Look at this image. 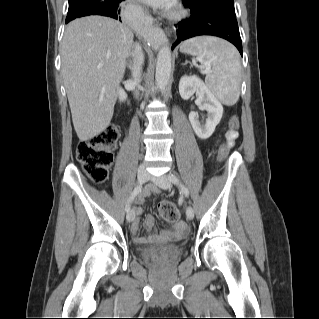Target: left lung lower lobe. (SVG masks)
Wrapping results in <instances>:
<instances>
[{"mask_svg": "<svg viewBox=\"0 0 319 319\" xmlns=\"http://www.w3.org/2000/svg\"><path fill=\"white\" fill-rule=\"evenodd\" d=\"M177 40L172 49L181 41L199 35H212L224 38L234 44L242 55V43L235 17L215 12L191 9V17L176 25Z\"/></svg>", "mask_w": 319, "mask_h": 319, "instance_id": "obj_1", "label": "left lung lower lobe"}]
</instances>
